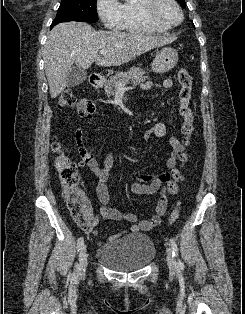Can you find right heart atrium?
I'll return each instance as SVG.
<instances>
[{"instance_id": "1", "label": "right heart atrium", "mask_w": 245, "mask_h": 314, "mask_svg": "<svg viewBox=\"0 0 245 314\" xmlns=\"http://www.w3.org/2000/svg\"><path fill=\"white\" fill-rule=\"evenodd\" d=\"M96 10L105 27L119 28L120 3L118 0H97Z\"/></svg>"}]
</instances>
